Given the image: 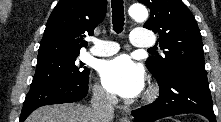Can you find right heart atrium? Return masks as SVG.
I'll return each instance as SVG.
<instances>
[{"instance_id": "d8ad5b80", "label": "right heart atrium", "mask_w": 221, "mask_h": 122, "mask_svg": "<svg viewBox=\"0 0 221 122\" xmlns=\"http://www.w3.org/2000/svg\"><path fill=\"white\" fill-rule=\"evenodd\" d=\"M94 96L103 102L113 103L115 101L114 97L107 92L100 84H95L93 87Z\"/></svg>"}]
</instances>
